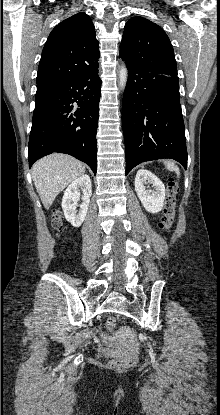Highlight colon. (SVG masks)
<instances>
[{
    "mask_svg": "<svg viewBox=\"0 0 220 415\" xmlns=\"http://www.w3.org/2000/svg\"><path fill=\"white\" fill-rule=\"evenodd\" d=\"M167 186V197L165 200L164 209L162 211L160 226L163 230H169L174 218L175 205H176V194L178 191V185L175 179L168 178L166 182ZM52 227L55 232L60 233L64 227L59 214H55L52 220ZM117 320L114 316H109L107 319V328L111 334L115 333ZM135 363L134 358L119 357L112 360L111 365L116 369H126L131 367Z\"/></svg>",
    "mask_w": 220,
    "mask_h": 415,
    "instance_id": "1",
    "label": "colon"
}]
</instances>
